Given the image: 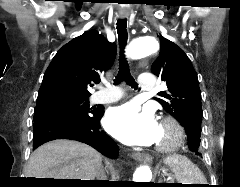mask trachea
Returning <instances> with one entry per match:
<instances>
[{
    "label": "trachea",
    "mask_w": 240,
    "mask_h": 187,
    "mask_svg": "<svg viewBox=\"0 0 240 187\" xmlns=\"http://www.w3.org/2000/svg\"><path fill=\"white\" fill-rule=\"evenodd\" d=\"M117 33H118V40L121 47V55H120V65L119 71L115 79V84H119L121 81L125 80L128 85L137 89L138 85L133 79L130 74L129 65L124 55V48L127 43L128 33H127V20L126 19H119L117 21Z\"/></svg>",
    "instance_id": "trachea-1"
}]
</instances>
